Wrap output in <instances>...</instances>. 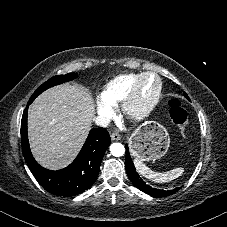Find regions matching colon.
Returning a JSON list of instances; mask_svg holds the SVG:
<instances>
[{
  "label": "colon",
  "instance_id": "colon-1",
  "mask_svg": "<svg viewBox=\"0 0 227 227\" xmlns=\"http://www.w3.org/2000/svg\"><path fill=\"white\" fill-rule=\"evenodd\" d=\"M170 105V118L175 125L181 130H185L188 124L189 112L185 109L180 100L172 98L169 101Z\"/></svg>",
  "mask_w": 227,
  "mask_h": 227
}]
</instances>
